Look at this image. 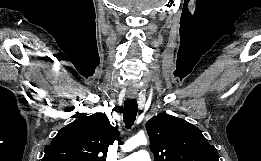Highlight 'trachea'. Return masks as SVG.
I'll return each instance as SVG.
<instances>
[{
  "label": "trachea",
  "instance_id": "3493384b",
  "mask_svg": "<svg viewBox=\"0 0 261 161\" xmlns=\"http://www.w3.org/2000/svg\"><path fill=\"white\" fill-rule=\"evenodd\" d=\"M138 105L135 99H127L124 103L123 118L126 128L130 129L137 116Z\"/></svg>",
  "mask_w": 261,
  "mask_h": 161
}]
</instances>
